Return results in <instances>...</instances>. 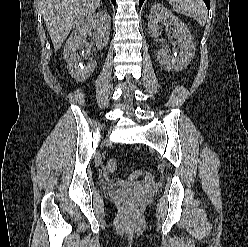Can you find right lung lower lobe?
<instances>
[{"label": "right lung lower lobe", "instance_id": "98d812e1", "mask_svg": "<svg viewBox=\"0 0 248 247\" xmlns=\"http://www.w3.org/2000/svg\"><path fill=\"white\" fill-rule=\"evenodd\" d=\"M113 5L115 6L116 5V0H111Z\"/></svg>", "mask_w": 248, "mask_h": 247}]
</instances>
